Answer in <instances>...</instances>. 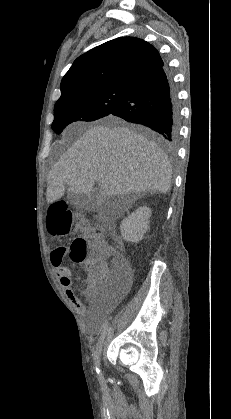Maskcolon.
<instances>
[{
    "mask_svg": "<svg viewBox=\"0 0 231 419\" xmlns=\"http://www.w3.org/2000/svg\"><path fill=\"white\" fill-rule=\"evenodd\" d=\"M48 226L59 234L82 232L86 237L76 238L70 246V258L80 263L86 262L88 281L91 286L99 282L110 284L119 291L129 277L126 262L116 258L109 266L106 258L111 254V247L101 241H93L97 231L79 214H75L64 202H54L48 211ZM59 262V259L57 260Z\"/></svg>",
    "mask_w": 231,
    "mask_h": 419,
    "instance_id": "5ec220e1",
    "label": "colon"
}]
</instances>
